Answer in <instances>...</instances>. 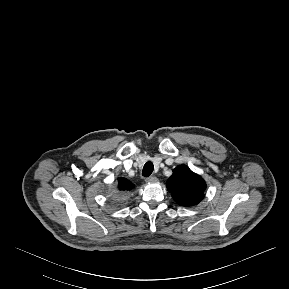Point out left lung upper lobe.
Listing matches in <instances>:
<instances>
[{
    "mask_svg": "<svg viewBox=\"0 0 289 289\" xmlns=\"http://www.w3.org/2000/svg\"><path fill=\"white\" fill-rule=\"evenodd\" d=\"M167 189L178 204L193 206L203 199L206 183L201 176L181 165L173 170L167 182Z\"/></svg>",
    "mask_w": 289,
    "mask_h": 289,
    "instance_id": "5c2ea615",
    "label": "left lung upper lobe"
}]
</instances>
